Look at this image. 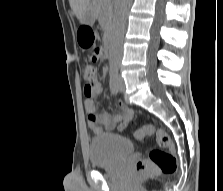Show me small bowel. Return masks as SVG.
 I'll use <instances>...</instances> for the list:
<instances>
[{
  "instance_id": "1",
  "label": "small bowel",
  "mask_w": 223,
  "mask_h": 191,
  "mask_svg": "<svg viewBox=\"0 0 223 191\" xmlns=\"http://www.w3.org/2000/svg\"><path fill=\"white\" fill-rule=\"evenodd\" d=\"M103 89L104 86L99 81L86 84L84 87V94L87 97L84 102V108L87 113V125L96 135L102 134L104 130H113L116 126H118L120 130L124 129L131 121L134 114L133 110L122 102L118 103L120 113L115 115H110L99 110L93 98L99 96L103 92Z\"/></svg>"
}]
</instances>
